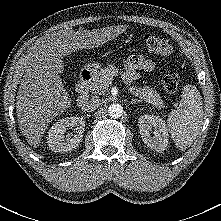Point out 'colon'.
I'll list each match as a JSON object with an SVG mask.
<instances>
[{"instance_id":"5ec220e1","label":"colon","mask_w":221,"mask_h":221,"mask_svg":"<svg viewBox=\"0 0 221 221\" xmlns=\"http://www.w3.org/2000/svg\"><path fill=\"white\" fill-rule=\"evenodd\" d=\"M143 43L150 53L157 54L162 57H169L172 54V46L162 37L146 34L143 37ZM162 85L166 92L174 93L179 85L178 75L175 73L164 75L162 78Z\"/></svg>"}]
</instances>
